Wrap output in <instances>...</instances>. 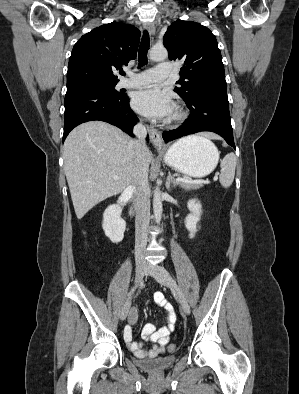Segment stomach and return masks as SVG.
<instances>
[{"label": "stomach", "instance_id": "1", "mask_svg": "<svg viewBox=\"0 0 299 394\" xmlns=\"http://www.w3.org/2000/svg\"><path fill=\"white\" fill-rule=\"evenodd\" d=\"M161 153L168 165L190 177L210 174L219 160L216 146L197 136L181 139Z\"/></svg>", "mask_w": 299, "mask_h": 394}]
</instances>
